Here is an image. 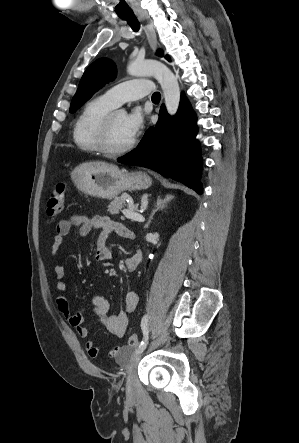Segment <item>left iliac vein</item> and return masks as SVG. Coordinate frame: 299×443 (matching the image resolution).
Instances as JSON below:
<instances>
[{"label": "left iliac vein", "mask_w": 299, "mask_h": 443, "mask_svg": "<svg viewBox=\"0 0 299 443\" xmlns=\"http://www.w3.org/2000/svg\"><path fill=\"white\" fill-rule=\"evenodd\" d=\"M142 352L138 353L137 355H135L132 358V360L130 361V364L127 368L126 391H127L128 396H132L135 393L136 371H137L138 363L143 355Z\"/></svg>", "instance_id": "left-iliac-vein-1"}]
</instances>
